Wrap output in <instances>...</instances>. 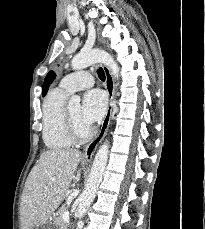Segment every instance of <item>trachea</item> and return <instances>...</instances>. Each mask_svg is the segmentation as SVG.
Returning <instances> with one entry per match:
<instances>
[{"instance_id": "1", "label": "trachea", "mask_w": 205, "mask_h": 229, "mask_svg": "<svg viewBox=\"0 0 205 229\" xmlns=\"http://www.w3.org/2000/svg\"><path fill=\"white\" fill-rule=\"evenodd\" d=\"M98 77L101 81H105V73L104 70L102 68H99L97 71Z\"/></svg>"}]
</instances>
